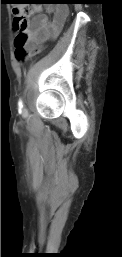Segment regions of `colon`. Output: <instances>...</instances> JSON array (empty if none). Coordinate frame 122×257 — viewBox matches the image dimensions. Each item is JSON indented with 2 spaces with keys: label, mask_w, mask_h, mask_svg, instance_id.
Masks as SVG:
<instances>
[{
  "label": "colon",
  "mask_w": 122,
  "mask_h": 257,
  "mask_svg": "<svg viewBox=\"0 0 122 257\" xmlns=\"http://www.w3.org/2000/svg\"><path fill=\"white\" fill-rule=\"evenodd\" d=\"M26 5H16L13 10V27L17 32L14 45H15V56L18 61L23 62L27 57V51L25 50V42L27 39L28 19L26 15ZM43 47H36L33 50V54L41 52Z\"/></svg>",
  "instance_id": "5ec220e1"
}]
</instances>
